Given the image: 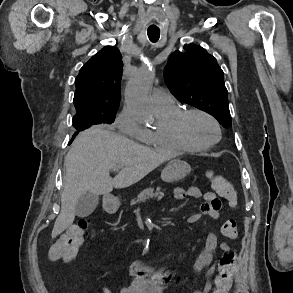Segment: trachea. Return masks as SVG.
<instances>
[{"instance_id": "1", "label": "trachea", "mask_w": 293, "mask_h": 293, "mask_svg": "<svg viewBox=\"0 0 293 293\" xmlns=\"http://www.w3.org/2000/svg\"><path fill=\"white\" fill-rule=\"evenodd\" d=\"M147 34L152 42H157L160 37V30L159 29H147Z\"/></svg>"}]
</instances>
